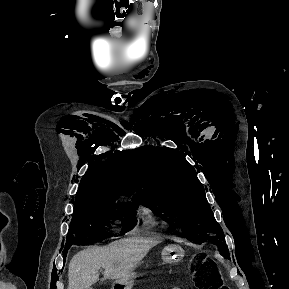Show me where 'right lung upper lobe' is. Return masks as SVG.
<instances>
[{
	"label": "right lung upper lobe",
	"mask_w": 289,
	"mask_h": 289,
	"mask_svg": "<svg viewBox=\"0 0 289 289\" xmlns=\"http://www.w3.org/2000/svg\"><path fill=\"white\" fill-rule=\"evenodd\" d=\"M130 155L123 151L104 156V164L96 162L82 177L76 194V200L128 199L137 201L135 197L134 178L129 166ZM128 162V163H127Z\"/></svg>",
	"instance_id": "cb5924a9"
}]
</instances>
